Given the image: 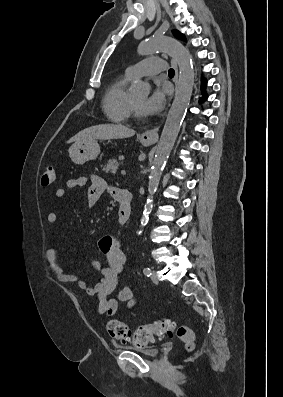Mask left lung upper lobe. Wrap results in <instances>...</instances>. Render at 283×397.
<instances>
[{
	"instance_id": "left-lung-upper-lobe-1",
	"label": "left lung upper lobe",
	"mask_w": 283,
	"mask_h": 397,
	"mask_svg": "<svg viewBox=\"0 0 283 397\" xmlns=\"http://www.w3.org/2000/svg\"><path fill=\"white\" fill-rule=\"evenodd\" d=\"M173 34H174V36L176 37V38H178V39H182V40H185V36L182 34V33H180L179 31H173Z\"/></svg>"
}]
</instances>
